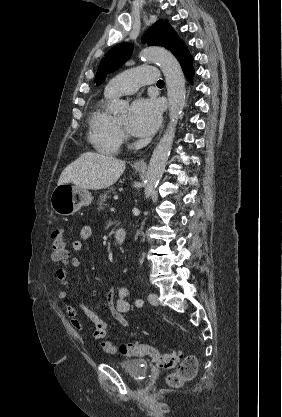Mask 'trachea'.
Listing matches in <instances>:
<instances>
[{"label":"trachea","mask_w":282,"mask_h":417,"mask_svg":"<svg viewBox=\"0 0 282 417\" xmlns=\"http://www.w3.org/2000/svg\"><path fill=\"white\" fill-rule=\"evenodd\" d=\"M157 85H164V81L163 80H158Z\"/></svg>","instance_id":"3493384b"}]
</instances>
